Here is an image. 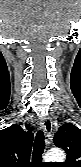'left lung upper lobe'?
Returning <instances> with one entry per match:
<instances>
[{
    "label": "left lung upper lobe",
    "mask_w": 81,
    "mask_h": 167,
    "mask_svg": "<svg viewBox=\"0 0 81 167\" xmlns=\"http://www.w3.org/2000/svg\"><path fill=\"white\" fill-rule=\"evenodd\" d=\"M54 144L67 153L66 162L61 167H81V130L78 127L70 123L60 126Z\"/></svg>",
    "instance_id": "left-lung-upper-lobe-1"
}]
</instances>
